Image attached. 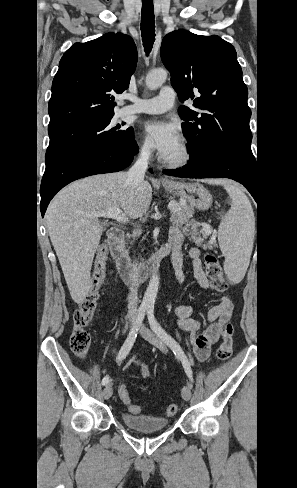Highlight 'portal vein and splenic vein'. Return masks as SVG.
<instances>
[{"mask_svg":"<svg viewBox=\"0 0 297 488\" xmlns=\"http://www.w3.org/2000/svg\"><path fill=\"white\" fill-rule=\"evenodd\" d=\"M168 208L170 210H175L176 205L169 203ZM91 216L113 218L116 219L117 221H123V222L128 221V219L125 216V213L120 208H111L107 210L97 211L92 213Z\"/></svg>","mask_w":297,"mask_h":488,"instance_id":"obj_1","label":"portal vein and splenic vein"}]
</instances>
